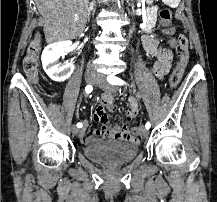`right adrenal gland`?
<instances>
[{"mask_svg":"<svg viewBox=\"0 0 217 202\" xmlns=\"http://www.w3.org/2000/svg\"><path fill=\"white\" fill-rule=\"evenodd\" d=\"M95 0H92V2H90L89 4V8L87 10V20L88 22H90V16H91V12H95Z\"/></svg>","mask_w":217,"mask_h":202,"instance_id":"obj_1","label":"right adrenal gland"}]
</instances>
